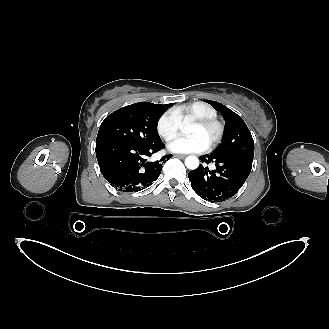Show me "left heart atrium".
I'll list each match as a JSON object with an SVG mask.
<instances>
[{
    "label": "left heart atrium",
    "instance_id": "39dd6f15",
    "mask_svg": "<svg viewBox=\"0 0 329 329\" xmlns=\"http://www.w3.org/2000/svg\"><path fill=\"white\" fill-rule=\"evenodd\" d=\"M207 147L208 145L198 135L177 138L168 144V149L175 153H200Z\"/></svg>",
    "mask_w": 329,
    "mask_h": 329
}]
</instances>
